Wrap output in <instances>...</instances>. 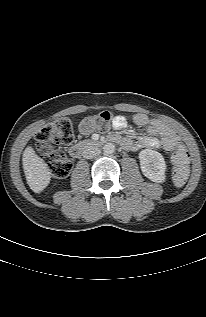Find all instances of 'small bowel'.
I'll return each mask as SVG.
<instances>
[{
  "mask_svg": "<svg viewBox=\"0 0 206 317\" xmlns=\"http://www.w3.org/2000/svg\"><path fill=\"white\" fill-rule=\"evenodd\" d=\"M132 120L136 125L144 128V135L134 144L129 138H123L122 145L126 149L139 150L142 148H159L162 141L176 136L175 133L164 123L150 118L144 113H136L130 118L124 115H118L113 118L112 127L115 130H122L127 126L128 120ZM160 137L162 139L159 140Z\"/></svg>",
  "mask_w": 206,
  "mask_h": 317,
  "instance_id": "1",
  "label": "small bowel"
}]
</instances>
